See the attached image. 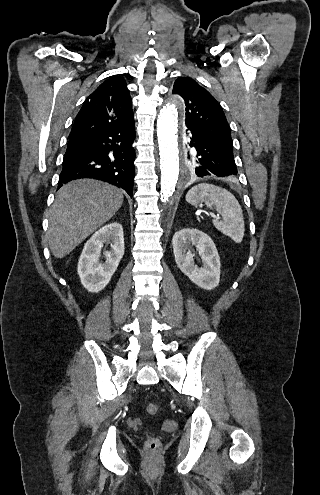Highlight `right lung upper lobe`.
Here are the masks:
<instances>
[{
    "instance_id": "obj_1",
    "label": "right lung upper lobe",
    "mask_w": 320,
    "mask_h": 495,
    "mask_svg": "<svg viewBox=\"0 0 320 495\" xmlns=\"http://www.w3.org/2000/svg\"><path fill=\"white\" fill-rule=\"evenodd\" d=\"M133 122L132 101L127 84L123 77L114 76L99 85L85 100L69 138L123 127Z\"/></svg>"
}]
</instances>
